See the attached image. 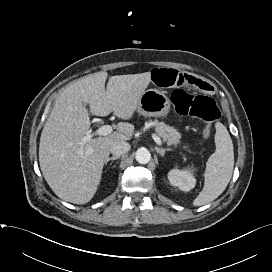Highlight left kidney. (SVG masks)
I'll list each match as a JSON object with an SVG mask.
<instances>
[{"label": "left kidney", "mask_w": 272, "mask_h": 272, "mask_svg": "<svg viewBox=\"0 0 272 272\" xmlns=\"http://www.w3.org/2000/svg\"><path fill=\"white\" fill-rule=\"evenodd\" d=\"M168 179L173 186L178 187L182 191H190L196 183L190 170L173 169L168 173Z\"/></svg>", "instance_id": "5707ae66"}]
</instances>
